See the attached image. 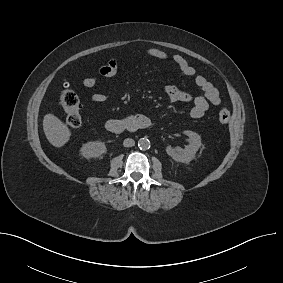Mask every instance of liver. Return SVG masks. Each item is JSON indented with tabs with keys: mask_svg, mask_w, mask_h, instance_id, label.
Returning a JSON list of instances; mask_svg holds the SVG:
<instances>
[{
	"mask_svg": "<svg viewBox=\"0 0 283 283\" xmlns=\"http://www.w3.org/2000/svg\"><path fill=\"white\" fill-rule=\"evenodd\" d=\"M43 130L47 140L57 148L64 146L71 137L70 129L53 114L44 116Z\"/></svg>",
	"mask_w": 283,
	"mask_h": 283,
	"instance_id": "liver-1",
	"label": "liver"
}]
</instances>
